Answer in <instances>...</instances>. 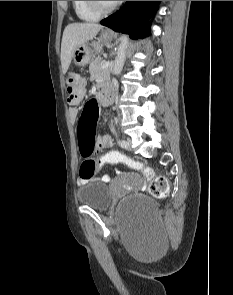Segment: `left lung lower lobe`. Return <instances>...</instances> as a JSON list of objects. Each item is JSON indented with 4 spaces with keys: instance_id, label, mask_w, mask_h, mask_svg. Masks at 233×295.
Instances as JSON below:
<instances>
[{
    "instance_id": "left-lung-lower-lobe-1",
    "label": "left lung lower lobe",
    "mask_w": 233,
    "mask_h": 295,
    "mask_svg": "<svg viewBox=\"0 0 233 295\" xmlns=\"http://www.w3.org/2000/svg\"><path fill=\"white\" fill-rule=\"evenodd\" d=\"M160 1H126L116 13L100 23L116 32L128 33L132 39L150 35L148 19L155 13Z\"/></svg>"
}]
</instances>
